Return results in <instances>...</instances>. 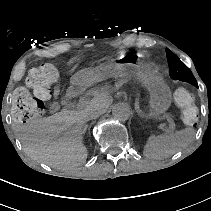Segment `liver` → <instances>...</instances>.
<instances>
[{
	"instance_id": "1",
	"label": "liver",
	"mask_w": 211,
	"mask_h": 211,
	"mask_svg": "<svg viewBox=\"0 0 211 211\" xmlns=\"http://www.w3.org/2000/svg\"><path fill=\"white\" fill-rule=\"evenodd\" d=\"M112 102L113 92L102 88L90 104L105 112ZM88 129L83 110L74 114L58 112L27 123L17 121L13 127L30 158L61 170H72L86 162L89 156L85 142Z\"/></svg>"
}]
</instances>
